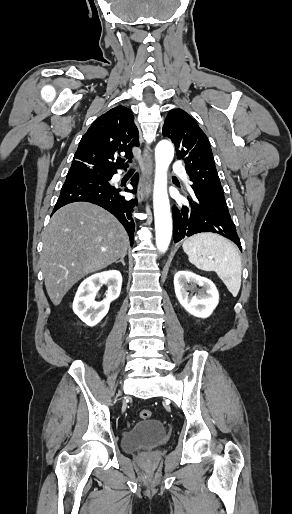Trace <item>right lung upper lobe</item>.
I'll return each mask as SVG.
<instances>
[{
	"label": "right lung upper lobe",
	"instance_id": "cb5924a9",
	"mask_svg": "<svg viewBox=\"0 0 292 514\" xmlns=\"http://www.w3.org/2000/svg\"><path fill=\"white\" fill-rule=\"evenodd\" d=\"M139 132L132 111L117 106L97 118L83 135L68 175H111L128 167L132 148L139 145ZM120 154L124 155L123 158Z\"/></svg>",
	"mask_w": 292,
	"mask_h": 514
}]
</instances>
